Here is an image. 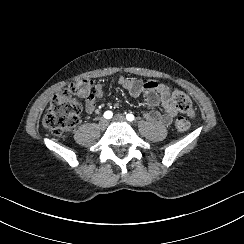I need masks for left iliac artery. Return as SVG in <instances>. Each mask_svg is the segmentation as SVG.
<instances>
[{
	"mask_svg": "<svg viewBox=\"0 0 244 244\" xmlns=\"http://www.w3.org/2000/svg\"><path fill=\"white\" fill-rule=\"evenodd\" d=\"M126 119L128 120V121H133L134 119H135V117H134V115L133 114H127L126 115Z\"/></svg>",
	"mask_w": 244,
	"mask_h": 244,
	"instance_id": "obj_1",
	"label": "left iliac artery"
}]
</instances>
